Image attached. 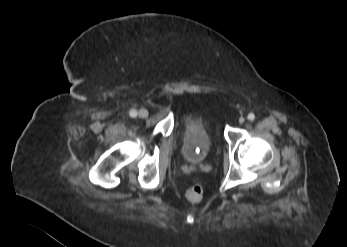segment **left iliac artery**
I'll return each mask as SVG.
<instances>
[{
  "mask_svg": "<svg viewBox=\"0 0 347 247\" xmlns=\"http://www.w3.org/2000/svg\"><path fill=\"white\" fill-rule=\"evenodd\" d=\"M247 118L248 120L253 121L255 119V115L253 113H249Z\"/></svg>",
  "mask_w": 347,
  "mask_h": 247,
  "instance_id": "1",
  "label": "left iliac artery"
}]
</instances>
